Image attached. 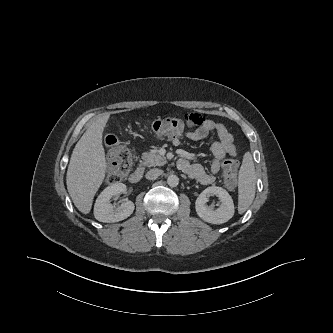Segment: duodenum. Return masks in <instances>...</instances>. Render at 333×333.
<instances>
[{
	"label": "duodenum",
	"instance_id": "duodenum-1",
	"mask_svg": "<svg viewBox=\"0 0 333 333\" xmlns=\"http://www.w3.org/2000/svg\"><path fill=\"white\" fill-rule=\"evenodd\" d=\"M142 177H143V169L142 168H137L129 176V181L132 184H137V183H139L141 181Z\"/></svg>",
	"mask_w": 333,
	"mask_h": 333
}]
</instances>
